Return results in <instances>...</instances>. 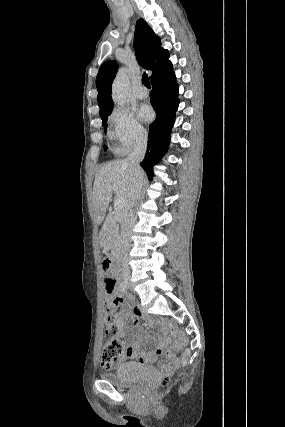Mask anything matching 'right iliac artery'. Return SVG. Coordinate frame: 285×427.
<instances>
[{
  "label": "right iliac artery",
  "mask_w": 285,
  "mask_h": 427,
  "mask_svg": "<svg viewBox=\"0 0 285 427\" xmlns=\"http://www.w3.org/2000/svg\"><path fill=\"white\" fill-rule=\"evenodd\" d=\"M121 288L123 291H127V286H126L125 282L121 283Z\"/></svg>",
  "instance_id": "82829eb1"
}]
</instances>
